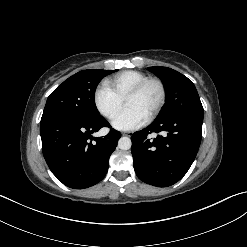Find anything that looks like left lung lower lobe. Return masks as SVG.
I'll list each match as a JSON object with an SVG mask.
<instances>
[{
  "label": "left lung lower lobe",
  "mask_w": 247,
  "mask_h": 247,
  "mask_svg": "<svg viewBox=\"0 0 247 247\" xmlns=\"http://www.w3.org/2000/svg\"><path fill=\"white\" fill-rule=\"evenodd\" d=\"M203 114L177 113L167 120L154 121L132 137L135 172L140 180L157 187L178 182L189 170L202 136ZM156 132L154 140L148 134Z\"/></svg>",
  "instance_id": "0a47b994"
}]
</instances>
